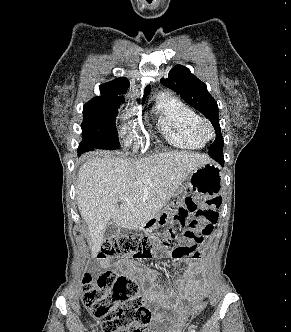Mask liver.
Listing matches in <instances>:
<instances>
[{
    "instance_id": "liver-1",
    "label": "liver",
    "mask_w": 291,
    "mask_h": 332,
    "mask_svg": "<svg viewBox=\"0 0 291 332\" xmlns=\"http://www.w3.org/2000/svg\"><path fill=\"white\" fill-rule=\"evenodd\" d=\"M210 162L206 154L187 151L162 152L136 161L119 153H88L78 172L76 200L88 226L92 256L99 253L111 219L125 229L141 228L193 170Z\"/></svg>"
}]
</instances>
